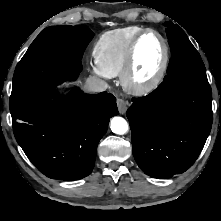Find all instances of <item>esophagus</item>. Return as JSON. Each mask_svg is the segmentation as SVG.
<instances>
[{
	"instance_id": "34e87169",
	"label": "esophagus",
	"mask_w": 221,
	"mask_h": 221,
	"mask_svg": "<svg viewBox=\"0 0 221 221\" xmlns=\"http://www.w3.org/2000/svg\"><path fill=\"white\" fill-rule=\"evenodd\" d=\"M117 106L120 114H125L127 111V102L124 99H117Z\"/></svg>"
}]
</instances>
